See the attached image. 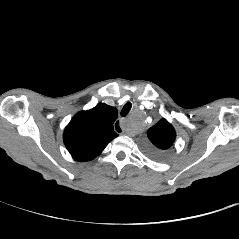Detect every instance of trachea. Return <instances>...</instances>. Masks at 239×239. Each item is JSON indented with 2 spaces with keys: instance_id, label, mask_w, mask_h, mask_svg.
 I'll return each instance as SVG.
<instances>
[{
  "instance_id": "3493384b",
  "label": "trachea",
  "mask_w": 239,
  "mask_h": 239,
  "mask_svg": "<svg viewBox=\"0 0 239 239\" xmlns=\"http://www.w3.org/2000/svg\"><path fill=\"white\" fill-rule=\"evenodd\" d=\"M131 107H132V105L130 102L126 103L121 110V113H120L121 116H123V117L126 116L127 113L130 111Z\"/></svg>"
}]
</instances>
